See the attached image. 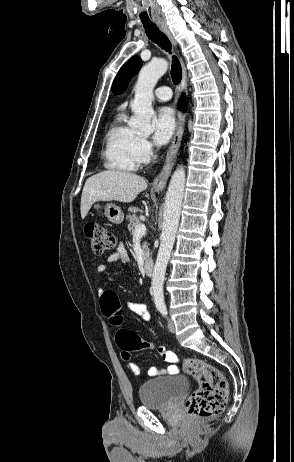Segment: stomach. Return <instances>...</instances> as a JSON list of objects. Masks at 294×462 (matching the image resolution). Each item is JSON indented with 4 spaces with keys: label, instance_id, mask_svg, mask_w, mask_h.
Here are the masks:
<instances>
[{
    "label": "stomach",
    "instance_id": "1",
    "mask_svg": "<svg viewBox=\"0 0 294 462\" xmlns=\"http://www.w3.org/2000/svg\"><path fill=\"white\" fill-rule=\"evenodd\" d=\"M102 206L99 203L94 204V209L99 210ZM104 214L107 219L113 224H120L124 219V213L121 208L113 203H107L104 206Z\"/></svg>",
    "mask_w": 294,
    "mask_h": 462
}]
</instances>
